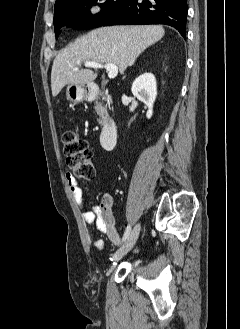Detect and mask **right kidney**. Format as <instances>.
I'll return each mask as SVG.
<instances>
[{
	"mask_svg": "<svg viewBox=\"0 0 240 329\" xmlns=\"http://www.w3.org/2000/svg\"><path fill=\"white\" fill-rule=\"evenodd\" d=\"M132 94L148 106L146 117L151 118L153 104L157 96V85L155 76L152 73H144L137 77L131 88Z\"/></svg>",
	"mask_w": 240,
	"mask_h": 329,
	"instance_id": "1",
	"label": "right kidney"
}]
</instances>
